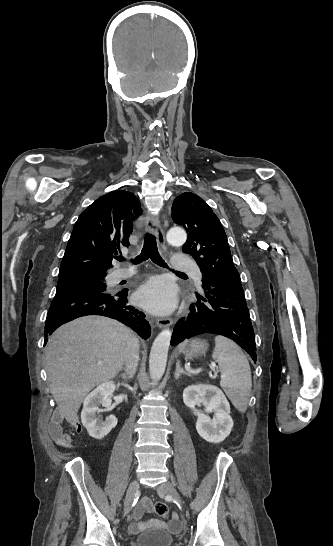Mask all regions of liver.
<instances>
[{
    "instance_id": "obj_1",
    "label": "liver",
    "mask_w": 333,
    "mask_h": 546,
    "mask_svg": "<svg viewBox=\"0 0 333 546\" xmlns=\"http://www.w3.org/2000/svg\"><path fill=\"white\" fill-rule=\"evenodd\" d=\"M129 336V330L117 321L87 316L62 325L49 338L46 371L50 392L67 422H77L85 396L96 385L120 372Z\"/></svg>"
}]
</instances>
